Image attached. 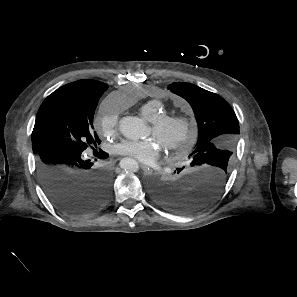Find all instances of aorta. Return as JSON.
Instances as JSON below:
<instances>
[{
  "instance_id": "1",
  "label": "aorta",
  "mask_w": 297,
  "mask_h": 297,
  "mask_svg": "<svg viewBox=\"0 0 297 297\" xmlns=\"http://www.w3.org/2000/svg\"><path fill=\"white\" fill-rule=\"evenodd\" d=\"M119 129L127 139L137 140L146 136L147 128L143 121L137 117L126 116L119 122ZM120 167L125 171L136 172L139 169L138 163L132 158H123Z\"/></svg>"
}]
</instances>
